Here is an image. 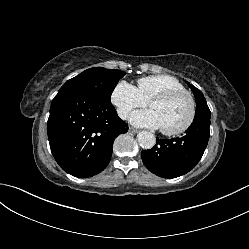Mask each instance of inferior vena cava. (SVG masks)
I'll return each mask as SVG.
<instances>
[{"label": "inferior vena cava", "mask_w": 249, "mask_h": 249, "mask_svg": "<svg viewBox=\"0 0 249 249\" xmlns=\"http://www.w3.org/2000/svg\"><path fill=\"white\" fill-rule=\"evenodd\" d=\"M118 115L121 119L125 120L128 117V112L126 110H119Z\"/></svg>", "instance_id": "inferior-vena-cava-1"}]
</instances>
